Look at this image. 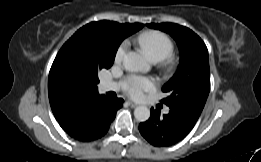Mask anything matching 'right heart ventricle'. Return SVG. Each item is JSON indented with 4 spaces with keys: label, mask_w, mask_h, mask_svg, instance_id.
Here are the masks:
<instances>
[{
    "label": "right heart ventricle",
    "mask_w": 261,
    "mask_h": 162,
    "mask_svg": "<svg viewBox=\"0 0 261 162\" xmlns=\"http://www.w3.org/2000/svg\"><path fill=\"white\" fill-rule=\"evenodd\" d=\"M137 43L147 51L153 61H161L173 52L171 38L160 31H147L136 38Z\"/></svg>",
    "instance_id": "obj_1"
}]
</instances>
